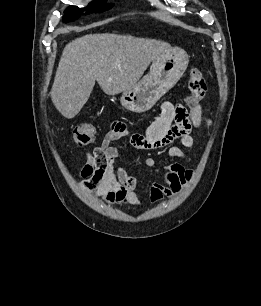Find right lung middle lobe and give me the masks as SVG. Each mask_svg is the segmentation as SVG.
<instances>
[{"label": "right lung middle lobe", "instance_id": "1", "mask_svg": "<svg viewBox=\"0 0 261 306\" xmlns=\"http://www.w3.org/2000/svg\"><path fill=\"white\" fill-rule=\"evenodd\" d=\"M114 4L106 3V0H97L95 2L90 3L86 8V13H93V12H104L109 10L113 7ZM84 9L78 8L77 6H70L65 10V15L63 17L64 22H69L77 19L81 12Z\"/></svg>", "mask_w": 261, "mask_h": 306}]
</instances>
